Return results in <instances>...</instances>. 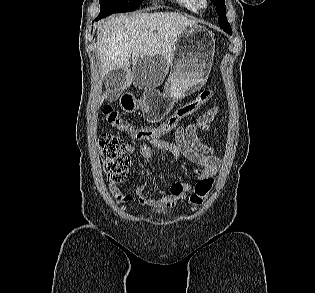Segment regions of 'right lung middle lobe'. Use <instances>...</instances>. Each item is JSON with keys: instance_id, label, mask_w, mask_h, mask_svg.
Masks as SVG:
<instances>
[{"instance_id": "1", "label": "right lung middle lobe", "mask_w": 315, "mask_h": 293, "mask_svg": "<svg viewBox=\"0 0 315 293\" xmlns=\"http://www.w3.org/2000/svg\"><path fill=\"white\" fill-rule=\"evenodd\" d=\"M143 0H100L99 14H113L134 11Z\"/></svg>"}]
</instances>
